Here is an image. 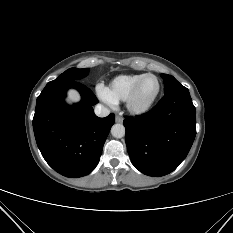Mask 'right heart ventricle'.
Listing matches in <instances>:
<instances>
[{"label": "right heart ventricle", "instance_id": "e07e8e85", "mask_svg": "<svg viewBox=\"0 0 233 233\" xmlns=\"http://www.w3.org/2000/svg\"><path fill=\"white\" fill-rule=\"evenodd\" d=\"M144 74H128L115 77L108 86V91L114 102L125 101L135 83Z\"/></svg>", "mask_w": 233, "mask_h": 233}]
</instances>
